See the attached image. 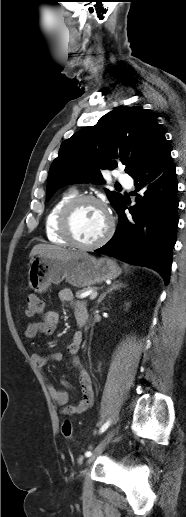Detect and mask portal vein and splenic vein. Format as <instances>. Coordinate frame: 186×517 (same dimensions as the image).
Returning <instances> with one entry per match:
<instances>
[{
    "instance_id": "obj_1",
    "label": "portal vein and splenic vein",
    "mask_w": 186,
    "mask_h": 517,
    "mask_svg": "<svg viewBox=\"0 0 186 517\" xmlns=\"http://www.w3.org/2000/svg\"><path fill=\"white\" fill-rule=\"evenodd\" d=\"M86 293L82 294V295H85ZM98 293L95 291V292H92L90 294V299H95L97 297Z\"/></svg>"
}]
</instances>
